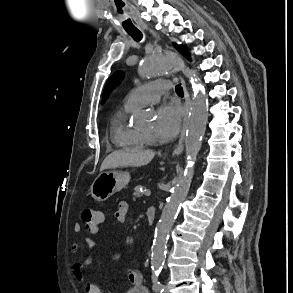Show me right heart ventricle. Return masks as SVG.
Returning a JSON list of instances; mask_svg holds the SVG:
<instances>
[{
	"mask_svg": "<svg viewBox=\"0 0 293 293\" xmlns=\"http://www.w3.org/2000/svg\"><path fill=\"white\" fill-rule=\"evenodd\" d=\"M133 109L124 106L115 114L111 124L113 142L125 150L145 148L150 142L145 134L129 126L127 116Z\"/></svg>",
	"mask_w": 293,
	"mask_h": 293,
	"instance_id": "obj_1",
	"label": "right heart ventricle"
}]
</instances>
